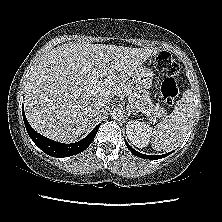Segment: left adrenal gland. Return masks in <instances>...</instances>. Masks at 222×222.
<instances>
[{"instance_id":"1","label":"left adrenal gland","mask_w":222,"mask_h":222,"mask_svg":"<svg viewBox=\"0 0 222 222\" xmlns=\"http://www.w3.org/2000/svg\"><path fill=\"white\" fill-rule=\"evenodd\" d=\"M127 111H128V115H130V112H134L135 113H138L137 110H135L133 107H131L130 105H127Z\"/></svg>"}]
</instances>
